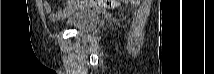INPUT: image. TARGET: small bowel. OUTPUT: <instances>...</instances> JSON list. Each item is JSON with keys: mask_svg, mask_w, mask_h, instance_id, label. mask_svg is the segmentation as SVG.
Instances as JSON below:
<instances>
[{"mask_svg": "<svg viewBox=\"0 0 214 74\" xmlns=\"http://www.w3.org/2000/svg\"><path fill=\"white\" fill-rule=\"evenodd\" d=\"M44 3V8H45V11L50 15V17L52 18H62V17H65L69 11V7H59V8H56V9H53L47 1H43Z\"/></svg>", "mask_w": 214, "mask_h": 74, "instance_id": "c3829d8e", "label": "small bowel"}]
</instances>
